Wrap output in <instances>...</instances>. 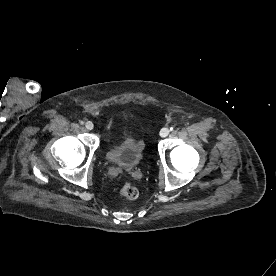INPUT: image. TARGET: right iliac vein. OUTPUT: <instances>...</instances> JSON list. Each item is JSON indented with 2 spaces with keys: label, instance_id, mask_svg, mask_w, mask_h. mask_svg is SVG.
Instances as JSON below:
<instances>
[{
  "label": "right iliac vein",
  "instance_id": "right-iliac-vein-1",
  "mask_svg": "<svg viewBox=\"0 0 276 276\" xmlns=\"http://www.w3.org/2000/svg\"><path fill=\"white\" fill-rule=\"evenodd\" d=\"M85 127L87 130H92L94 128V124L91 121H87L85 123Z\"/></svg>",
  "mask_w": 276,
  "mask_h": 276
}]
</instances>
